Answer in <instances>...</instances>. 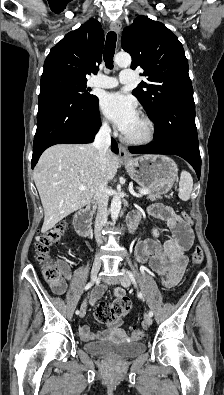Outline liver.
<instances>
[{
    "instance_id": "6515ba94",
    "label": "liver",
    "mask_w": 224,
    "mask_h": 395,
    "mask_svg": "<svg viewBox=\"0 0 224 395\" xmlns=\"http://www.w3.org/2000/svg\"><path fill=\"white\" fill-rule=\"evenodd\" d=\"M119 166L118 157L107 154L105 179L111 181ZM44 208L42 233L69 214L87 205L102 180L99 153L92 144H60L41 155L33 173ZM85 186V190H79Z\"/></svg>"
}]
</instances>
